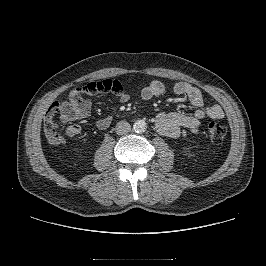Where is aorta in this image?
<instances>
[{"label": "aorta", "instance_id": "762f6f07", "mask_svg": "<svg viewBox=\"0 0 266 266\" xmlns=\"http://www.w3.org/2000/svg\"><path fill=\"white\" fill-rule=\"evenodd\" d=\"M133 128L135 132L142 133L146 130L147 124L144 120L140 119L134 122Z\"/></svg>", "mask_w": 266, "mask_h": 266}]
</instances>
